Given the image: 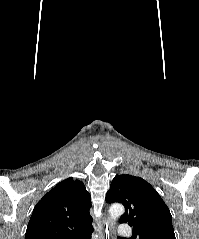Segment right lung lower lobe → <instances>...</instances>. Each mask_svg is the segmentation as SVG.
Returning a JSON list of instances; mask_svg holds the SVG:
<instances>
[{
    "mask_svg": "<svg viewBox=\"0 0 199 239\" xmlns=\"http://www.w3.org/2000/svg\"><path fill=\"white\" fill-rule=\"evenodd\" d=\"M93 232V227L82 231L80 234L76 235L71 239H91V233Z\"/></svg>",
    "mask_w": 199,
    "mask_h": 239,
    "instance_id": "right-lung-lower-lobe-1",
    "label": "right lung lower lobe"
}]
</instances>
